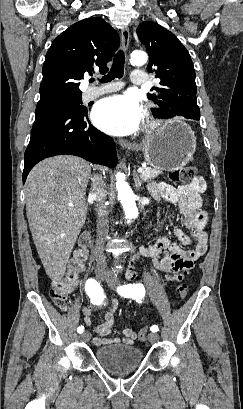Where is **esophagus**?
Here are the masks:
<instances>
[{"instance_id":"obj_1","label":"esophagus","mask_w":243,"mask_h":409,"mask_svg":"<svg viewBox=\"0 0 243 409\" xmlns=\"http://www.w3.org/2000/svg\"><path fill=\"white\" fill-rule=\"evenodd\" d=\"M129 42H130V31L128 27H125L121 31V43H122V48L126 52L129 47ZM117 143L125 149H134L136 147V144L129 142L127 140L119 139Z\"/></svg>"}]
</instances>
